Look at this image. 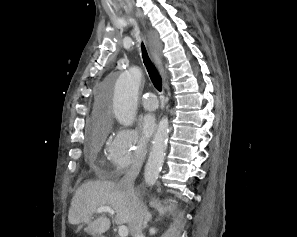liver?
<instances>
[{"label":"liver","mask_w":297,"mask_h":237,"mask_svg":"<svg viewBox=\"0 0 297 237\" xmlns=\"http://www.w3.org/2000/svg\"><path fill=\"white\" fill-rule=\"evenodd\" d=\"M109 206L116 213L114 222L117 225L129 224L130 208L128 200L119 184L108 181L86 182L75 192L69 209L68 220L72 225L87 224L85 232L90 235H101L109 230L110 220L107 217L93 219L95 211Z\"/></svg>","instance_id":"6515ba94"}]
</instances>
